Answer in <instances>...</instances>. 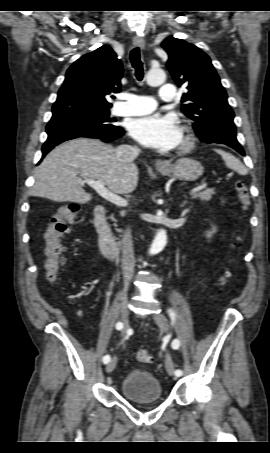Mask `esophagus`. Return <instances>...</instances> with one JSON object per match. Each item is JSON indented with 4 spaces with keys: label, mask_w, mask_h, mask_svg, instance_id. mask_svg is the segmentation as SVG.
Returning a JSON list of instances; mask_svg holds the SVG:
<instances>
[{
    "label": "esophagus",
    "mask_w": 270,
    "mask_h": 453,
    "mask_svg": "<svg viewBox=\"0 0 270 453\" xmlns=\"http://www.w3.org/2000/svg\"><path fill=\"white\" fill-rule=\"evenodd\" d=\"M133 44H134L135 46L144 47V46H145V41H144L143 38L134 37V38H133ZM155 166H156L157 168H164V167H167V166H168V162L163 161V160H161V159H157V160L155 161Z\"/></svg>",
    "instance_id": "34e87169"
}]
</instances>
